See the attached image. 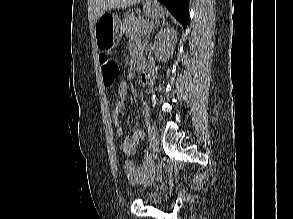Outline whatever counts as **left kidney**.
<instances>
[{"label":"left kidney","instance_id":"left-kidney-1","mask_svg":"<svg viewBox=\"0 0 293 219\" xmlns=\"http://www.w3.org/2000/svg\"><path fill=\"white\" fill-rule=\"evenodd\" d=\"M177 32L174 28L162 29L155 37L154 52L156 57L164 62L172 55L177 39Z\"/></svg>","mask_w":293,"mask_h":219}]
</instances>
